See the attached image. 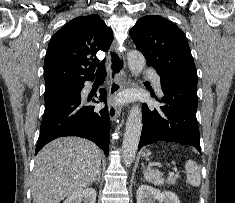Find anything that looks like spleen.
Returning <instances> with one entry per match:
<instances>
[{
  "instance_id": "spleen-1",
  "label": "spleen",
  "mask_w": 235,
  "mask_h": 203,
  "mask_svg": "<svg viewBox=\"0 0 235 203\" xmlns=\"http://www.w3.org/2000/svg\"><path fill=\"white\" fill-rule=\"evenodd\" d=\"M186 170V181L194 187H197L201 183V175L199 166L193 160L189 159L185 163ZM144 178L155 185L161 186L164 184V179L162 178V173L158 170H152L147 168L143 171Z\"/></svg>"
}]
</instances>
